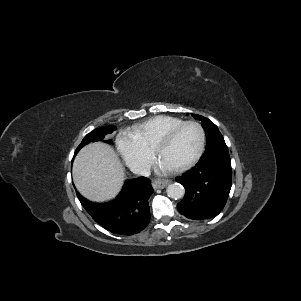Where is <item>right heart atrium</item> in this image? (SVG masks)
I'll list each match as a JSON object with an SVG mask.
<instances>
[{"label": "right heart atrium", "instance_id": "obj_1", "mask_svg": "<svg viewBox=\"0 0 301 301\" xmlns=\"http://www.w3.org/2000/svg\"><path fill=\"white\" fill-rule=\"evenodd\" d=\"M117 149L125 164L139 174L145 173L153 162L152 153L128 132L116 138Z\"/></svg>", "mask_w": 301, "mask_h": 301}]
</instances>
